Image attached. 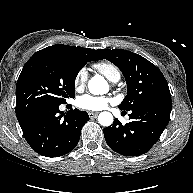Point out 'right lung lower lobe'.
<instances>
[{
    "mask_svg": "<svg viewBox=\"0 0 193 193\" xmlns=\"http://www.w3.org/2000/svg\"><path fill=\"white\" fill-rule=\"evenodd\" d=\"M28 144L40 155L59 157L72 151L80 138L83 125L89 120L85 111L63 113L59 104H46L18 116Z\"/></svg>",
    "mask_w": 193,
    "mask_h": 193,
    "instance_id": "obj_1",
    "label": "right lung lower lobe"
}]
</instances>
